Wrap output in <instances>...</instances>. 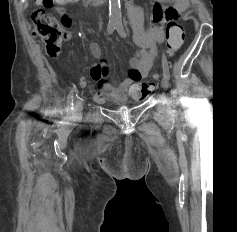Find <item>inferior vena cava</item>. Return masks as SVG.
<instances>
[{"mask_svg":"<svg viewBox=\"0 0 237 232\" xmlns=\"http://www.w3.org/2000/svg\"><path fill=\"white\" fill-rule=\"evenodd\" d=\"M95 3H97V4H101V3H103V0H93Z\"/></svg>","mask_w":237,"mask_h":232,"instance_id":"inferior-vena-cava-1","label":"inferior vena cava"}]
</instances>
